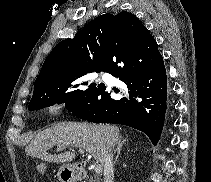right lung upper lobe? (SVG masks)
Wrapping results in <instances>:
<instances>
[{"label": "right lung upper lobe", "instance_id": "right-lung-upper-lobe-1", "mask_svg": "<svg viewBox=\"0 0 211 182\" xmlns=\"http://www.w3.org/2000/svg\"><path fill=\"white\" fill-rule=\"evenodd\" d=\"M149 34L142 22L128 12L100 15L74 38L63 40L54 47L34 82V90L90 71L103 70L118 48Z\"/></svg>", "mask_w": 211, "mask_h": 182}]
</instances>
